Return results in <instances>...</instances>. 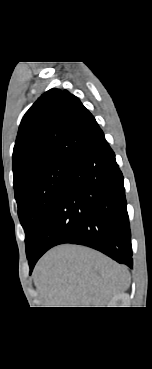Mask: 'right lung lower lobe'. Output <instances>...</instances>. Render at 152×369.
Listing matches in <instances>:
<instances>
[{"mask_svg":"<svg viewBox=\"0 0 152 369\" xmlns=\"http://www.w3.org/2000/svg\"><path fill=\"white\" fill-rule=\"evenodd\" d=\"M123 175L104 135L73 162L29 258L30 273L51 247L72 243L132 268Z\"/></svg>","mask_w":152,"mask_h":369,"instance_id":"right-lung-lower-lobe-1","label":"right lung lower lobe"}]
</instances>
